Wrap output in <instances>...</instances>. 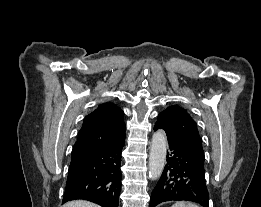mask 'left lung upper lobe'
I'll return each mask as SVG.
<instances>
[{
  "label": "left lung upper lobe",
  "instance_id": "obj_1",
  "mask_svg": "<svg viewBox=\"0 0 261 207\" xmlns=\"http://www.w3.org/2000/svg\"><path fill=\"white\" fill-rule=\"evenodd\" d=\"M156 124L162 126L195 158L204 162L205 156L197 124L185 109L177 105L167 107L158 115Z\"/></svg>",
  "mask_w": 261,
  "mask_h": 207
}]
</instances>
